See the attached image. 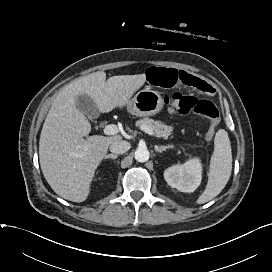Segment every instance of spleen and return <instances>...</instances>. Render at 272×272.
I'll use <instances>...</instances> for the list:
<instances>
[{
	"label": "spleen",
	"instance_id": "spleen-1",
	"mask_svg": "<svg viewBox=\"0 0 272 272\" xmlns=\"http://www.w3.org/2000/svg\"><path fill=\"white\" fill-rule=\"evenodd\" d=\"M232 171V152L228 133L219 129L214 138V152L210 159L208 182L197 204L215 198L226 186Z\"/></svg>",
	"mask_w": 272,
	"mask_h": 272
}]
</instances>
